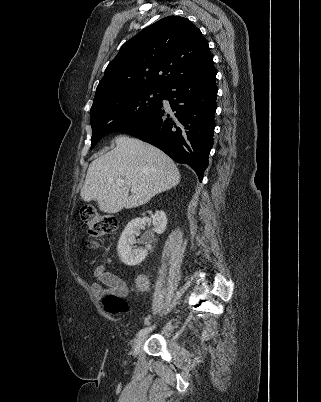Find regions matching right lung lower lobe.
I'll use <instances>...</instances> for the list:
<instances>
[{"instance_id":"obj_1","label":"right lung lower lobe","mask_w":321,"mask_h":402,"mask_svg":"<svg viewBox=\"0 0 321 402\" xmlns=\"http://www.w3.org/2000/svg\"><path fill=\"white\" fill-rule=\"evenodd\" d=\"M215 81L214 63L178 78L164 89L163 95L174 113L167 114L161 104L154 112L117 131L132 134L175 161L188 164L201 182L213 145Z\"/></svg>"}]
</instances>
